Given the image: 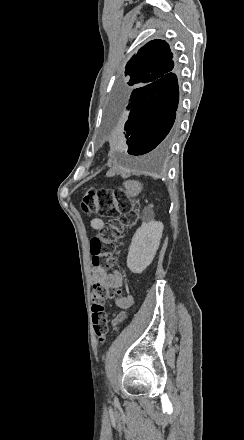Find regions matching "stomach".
Segmentation results:
<instances>
[{
	"label": "stomach",
	"instance_id": "1",
	"mask_svg": "<svg viewBox=\"0 0 244 440\" xmlns=\"http://www.w3.org/2000/svg\"><path fill=\"white\" fill-rule=\"evenodd\" d=\"M123 188L126 196H138L142 192L143 184L135 182V180H128V182H123Z\"/></svg>",
	"mask_w": 244,
	"mask_h": 440
}]
</instances>
